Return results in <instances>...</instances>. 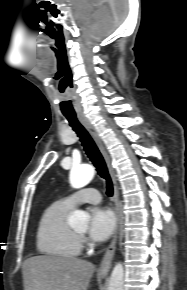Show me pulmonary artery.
Here are the masks:
<instances>
[{
  "label": "pulmonary artery",
  "mask_w": 187,
  "mask_h": 290,
  "mask_svg": "<svg viewBox=\"0 0 187 290\" xmlns=\"http://www.w3.org/2000/svg\"><path fill=\"white\" fill-rule=\"evenodd\" d=\"M63 201L71 207L80 203L96 204L101 201V195L96 189L86 188L65 197Z\"/></svg>",
  "instance_id": "1"
}]
</instances>
